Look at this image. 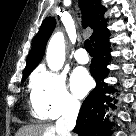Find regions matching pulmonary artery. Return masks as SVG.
Segmentation results:
<instances>
[{"instance_id": "pulmonary-artery-1", "label": "pulmonary artery", "mask_w": 136, "mask_h": 136, "mask_svg": "<svg viewBox=\"0 0 136 136\" xmlns=\"http://www.w3.org/2000/svg\"><path fill=\"white\" fill-rule=\"evenodd\" d=\"M75 58L81 64H86L89 61L88 54L83 48H80L75 52Z\"/></svg>"}]
</instances>
